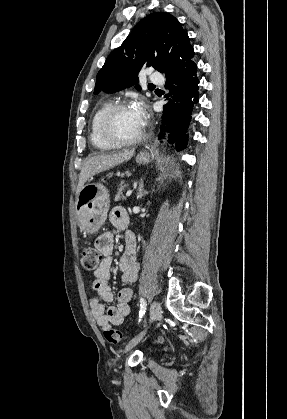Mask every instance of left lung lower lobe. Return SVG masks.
I'll return each instance as SVG.
<instances>
[{"instance_id":"left-lung-lower-lobe-1","label":"left lung lower lobe","mask_w":287,"mask_h":419,"mask_svg":"<svg viewBox=\"0 0 287 419\" xmlns=\"http://www.w3.org/2000/svg\"><path fill=\"white\" fill-rule=\"evenodd\" d=\"M197 66L193 61H190L180 70L166 76V87L170 92L167 97H171L164 106L162 119L163 123L160 127L161 132H171L169 141L176 143L177 150L186 147V131L191 119L190 115L195 103L199 100L198 84L199 80L196 76ZM168 128L165 129V124ZM164 134L159 135V139L163 138Z\"/></svg>"}]
</instances>
